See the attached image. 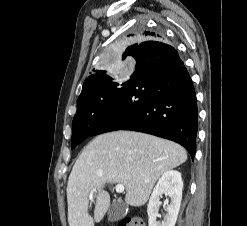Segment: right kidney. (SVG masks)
I'll return each mask as SVG.
<instances>
[{
    "label": "right kidney",
    "mask_w": 247,
    "mask_h": 226,
    "mask_svg": "<svg viewBox=\"0 0 247 226\" xmlns=\"http://www.w3.org/2000/svg\"><path fill=\"white\" fill-rule=\"evenodd\" d=\"M183 181L178 171L165 172L157 182L149 199L147 213L149 226H174L182 200ZM163 193L170 197V204L165 207L167 212L163 221H157L160 198Z\"/></svg>",
    "instance_id": "right-kidney-1"
}]
</instances>
